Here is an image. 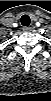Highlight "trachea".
Instances as JSON below:
<instances>
[{"label": "trachea", "mask_w": 51, "mask_h": 101, "mask_svg": "<svg viewBox=\"0 0 51 101\" xmlns=\"http://www.w3.org/2000/svg\"><path fill=\"white\" fill-rule=\"evenodd\" d=\"M30 22H31V20H30V17H29L28 15H23V16L21 17V24H22L23 26L28 27V26L30 25Z\"/></svg>", "instance_id": "trachea-1"}]
</instances>
